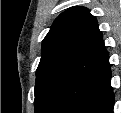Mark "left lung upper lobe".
Listing matches in <instances>:
<instances>
[{
    "mask_svg": "<svg viewBox=\"0 0 121 113\" xmlns=\"http://www.w3.org/2000/svg\"><path fill=\"white\" fill-rule=\"evenodd\" d=\"M108 65L96 18L84 7L63 12L42 43L35 112L71 113Z\"/></svg>",
    "mask_w": 121,
    "mask_h": 113,
    "instance_id": "left-lung-upper-lobe-1",
    "label": "left lung upper lobe"
}]
</instances>
